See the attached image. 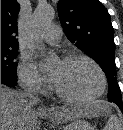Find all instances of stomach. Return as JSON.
I'll return each instance as SVG.
<instances>
[{
  "label": "stomach",
  "mask_w": 123,
  "mask_h": 130,
  "mask_svg": "<svg viewBox=\"0 0 123 130\" xmlns=\"http://www.w3.org/2000/svg\"><path fill=\"white\" fill-rule=\"evenodd\" d=\"M62 130H94V127L84 120L76 119L70 124L63 126Z\"/></svg>",
  "instance_id": "stomach-1"
}]
</instances>
